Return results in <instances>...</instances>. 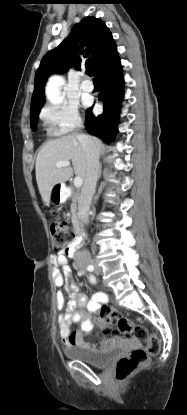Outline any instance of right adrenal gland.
Segmentation results:
<instances>
[{
	"instance_id": "obj_1",
	"label": "right adrenal gland",
	"mask_w": 187,
	"mask_h": 415,
	"mask_svg": "<svg viewBox=\"0 0 187 415\" xmlns=\"http://www.w3.org/2000/svg\"><path fill=\"white\" fill-rule=\"evenodd\" d=\"M100 177H101V166L99 168V176H98V178H100Z\"/></svg>"
}]
</instances>
